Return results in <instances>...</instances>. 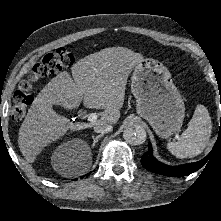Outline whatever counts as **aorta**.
I'll list each match as a JSON object with an SVG mask.
<instances>
[{
	"label": "aorta",
	"mask_w": 221,
	"mask_h": 221,
	"mask_svg": "<svg viewBox=\"0 0 221 221\" xmlns=\"http://www.w3.org/2000/svg\"><path fill=\"white\" fill-rule=\"evenodd\" d=\"M146 131L140 125L128 126L123 132L124 140L131 145H140L146 140Z\"/></svg>",
	"instance_id": "762f6f07"
}]
</instances>
